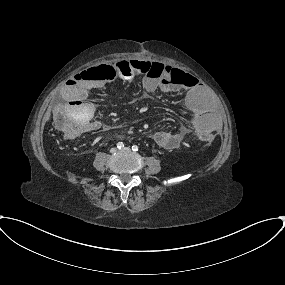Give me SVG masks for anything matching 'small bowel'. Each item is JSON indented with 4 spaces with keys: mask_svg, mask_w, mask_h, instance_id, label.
I'll return each instance as SVG.
<instances>
[{
    "mask_svg": "<svg viewBox=\"0 0 285 285\" xmlns=\"http://www.w3.org/2000/svg\"><path fill=\"white\" fill-rule=\"evenodd\" d=\"M183 73L188 77L189 83L172 87L163 85L151 77L143 79V86L149 92L162 90L169 93H183L184 106L191 115L189 127L182 126L176 130L156 131L152 134V140L163 149L169 150L178 147L190 132L199 136L201 134H213L218 128L215 116L206 109L205 102L207 96L205 90L195 83L194 76L187 72ZM114 79L115 76L108 73L101 79L88 80L79 76L78 78H70L67 81L61 90L65 103L59 104L57 107L77 111L74 118L76 122L75 131L68 134V137H78L86 132L102 127L100 120L91 118L95 109L88 100V95L92 90L102 88Z\"/></svg>",
    "mask_w": 285,
    "mask_h": 285,
    "instance_id": "c3829d8e",
    "label": "small bowel"
}]
</instances>
